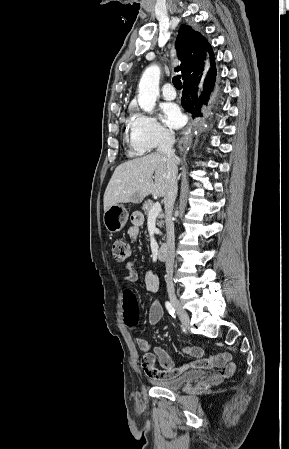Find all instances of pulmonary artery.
Returning <instances> with one entry per match:
<instances>
[{
  "mask_svg": "<svg viewBox=\"0 0 289 449\" xmlns=\"http://www.w3.org/2000/svg\"><path fill=\"white\" fill-rule=\"evenodd\" d=\"M162 95L166 100H173L176 98V91L172 84L166 83L162 88Z\"/></svg>",
  "mask_w": 289,
  "mask_h": 449,
  "instance_id": "obj_1",
  "label": "pulmonary artery"
}]
</instances>
